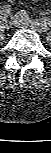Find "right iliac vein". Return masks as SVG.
Segmentation results:
<instances>
[{
    "label": "right iliac vein",
    "mask_w": 51,
    "mask_h": 153,
    "mask_svg": "<svg viewBox=\"0 0 51 153\" xmlns=\"http://www.w3.org/2000/svg\"><path fill=\"white\" fill-rule=\"evenodd\" d=\"M1 28L4 30H10L12 28V23L6 19L2 22Z\"/></svg>",
    "instance_id": "1"
}]
</instances>
